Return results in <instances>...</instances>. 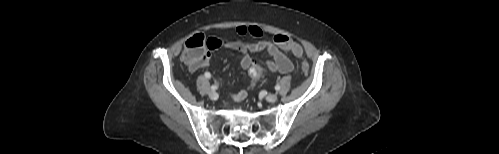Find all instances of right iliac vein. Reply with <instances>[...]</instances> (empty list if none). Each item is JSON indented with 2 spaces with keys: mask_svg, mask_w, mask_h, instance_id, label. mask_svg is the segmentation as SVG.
Here are the masks:
<instances>
[{
  "mask_svg": "<svg viewBox=\"0 0 499 154\" xmlns=\"http://www.w3.org/2000/svg\"><path fill=\"white\" fill-rule=\"evenodd\" d=\"M209 98H210L211 100H217V99H218V94H217L215 91H211V92L209 93Z\"/></svg>",
  "mask_w": 499,
  "mask_h": 154,
  "instance_id": "1",
  "label": "right iliac vein"
}]
</instances>
